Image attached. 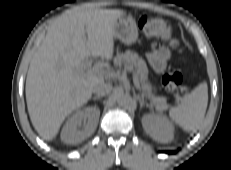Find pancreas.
<instances>
[{"mask_svg":"<svg viewBox=\"0 0 231 170\" xmlns=\"http://www.w3.org/2000/svg\"><path fill=\"white\" fill-rule=\"evenodd\" d=\"M114 65L119 69L127 68L129 66L134 67L140 88L151 99L152 103L158 108H164L166 106V100L164 98L155 97L151 94V86L148 83L147 65L136 52L127 50L124 53H117L114 58Z\"/></svg>","mask_w":231,"mask_h":170,"instance_id":"obj_1","label":"pancreas"}]
</instances>
